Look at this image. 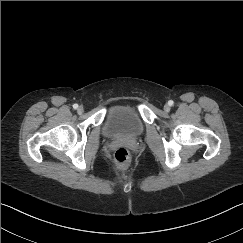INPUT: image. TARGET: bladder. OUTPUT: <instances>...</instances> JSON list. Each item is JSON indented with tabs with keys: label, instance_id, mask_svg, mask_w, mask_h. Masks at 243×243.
I'll use <instances>...</instances> for the list:
<instances>
[{
	"label": "bladder",
	"instance_id": "obj_1",
	"mask_svg": "<svg viewBox=\"0 0 243 243\" xmlns=\"http://www.w3.org/2000/svg\"><path fill=\"white\" fill-rule=\"evenodd\" d=\"M145 132V123L132 106L114 105L106 110L101 134L111 139H135Z\"/></svg>",
	"mask_w": 243,
	"mask_h": 243
}]
</instances>
